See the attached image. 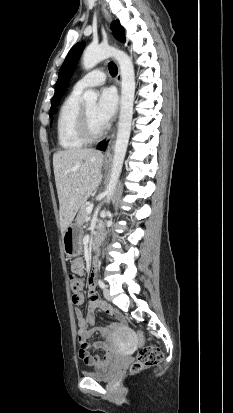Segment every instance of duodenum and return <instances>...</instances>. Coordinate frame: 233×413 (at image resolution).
Segmentation results:
<instances>
[{
    "label": "duodenum",
    "instance_id": "410a0bca",
    "mask_svg": "<svg viewBox=\"0 0 233 413\" xmlns=\"http://www.w3.org/2000/svg\"><path fill=\"white\" fill-rule=\"evenodd\" d=\"M101 241H102L101 236H99V235L96 236V237L91 241V247H92L93 249H97L98 246L100 245ZM98 265H99V261H98L97 258H95V259H94V266L97 267Z\"/></svg>",
    "mask_w": 233,
    "mask_h": 413
}]
</instances>
